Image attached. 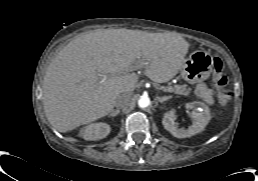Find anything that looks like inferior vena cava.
I'll return each instance as SVG.
<instances>
[{"instance_id": "1", "label": "inferior vena cava", "mask_w": 258, "mask_h": 181, "mask_svg": "<svg viewBox=\"0 0 258 181\" xmlns=\"http://www.w3.org/2000/svg\"><path fill=\"white\" fill-rule=\"evenodd\" d=\"M132 95L130 93H123L120 94L115 101V107H117L118 109H122L124 107H126L129 102L131 101Z\"/></svg>"}]
</instances>
